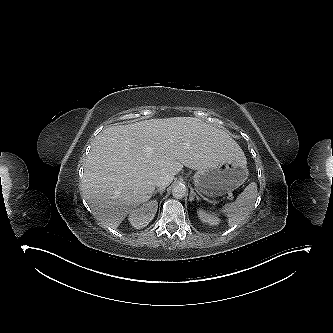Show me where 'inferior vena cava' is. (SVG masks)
Here are the masks:
<instances>
[{"mask_svg":"<svg viewBox=\"0 0 333 333\" xmlns=\"http://www.w3.org/2000/svg\"><path fill=\"white\" fill-rule=\"evenodd\" d=\"M174 176L166 174V175H160L156 182L155 185L158 188H166L167 186L170 185V183L173 181Z\"/></svg>","mask_w":333,"mask_h":333,"instance_id":"602c4592","label":"inferior vena cava"}]
</instances>
